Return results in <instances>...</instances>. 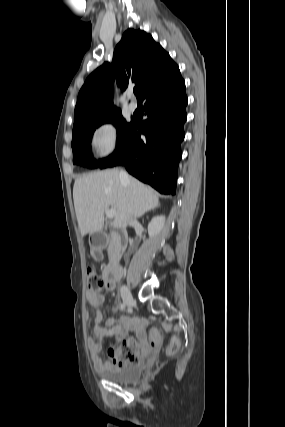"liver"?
Listing matches in <instances>:
<instances>
[{
    "mask_svg": "<svg viewBox=\"0 0 285 427\" xmlns=\"http://www.w3.org/2000/svg\"><path fill=\"white\" fill-rule=\"evenodd\" d=\"M73 200L82 236L103 228L105 208L110 207L116 212L111 226L125 228L131 218L142 216L159 203L152 189L131 176L122 181L116 169L88 173L77 178Z\"/></svg>",
    "mask_w": 285,
    "mask_h": 427,
    "instance_id": "6515ba94",
    "label": "liver"
}]
</instances>
